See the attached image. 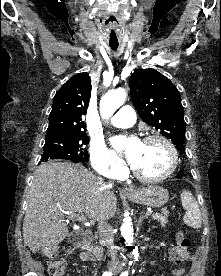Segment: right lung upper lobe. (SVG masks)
<instances>
[{"mask_svg":"<svg viewBox=\"0 0 221 276\" xmlns=\"http://www.w3.org/2000/svg\"><path fill=\"white\" fill-rule=\"evenodd\" d=\"M90 91V77L84 72L72 76L56 92L46 136L84 132L82 116L87 112Z\"/></svg>","mask_w":221,"mask_h":276,"instance_id":"cb5924a9","label":"right lung upper lobe"}]
</instances>
